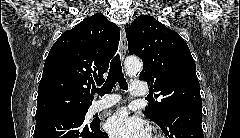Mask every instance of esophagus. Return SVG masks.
<instances>
[{
	"instance_id": "esophagus-1",
	"label": "esophagus",
	"mask_w": 240,
	"mask_h": 138,
	"mask_svg": "<svg viewBox=\"0 0 240 138\" xmlns=\"http://www.w3.org/2000/svg\"><path fill=\"white\" fill-rule=\"evenodd\" d=\"M127 51V40H126V32H125V27H121V32H120V55H121V60H124L125 55Z\"/></svg>"
}]
</instances>
